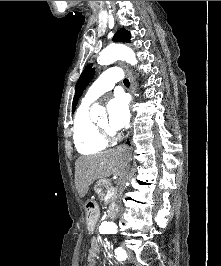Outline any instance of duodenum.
<instances>
[{"label": "duodenum", "instance_id": "obj_1", "mask_svg": "<svg viewBox=\"0 0 221 266\" xmlns=\"http://www.w3.org/2000/svg\"><path fill=\"white\" fill-rule=\"evenodd\" d=\"M88 209H89V217H88V220H87V225H88V228L90 229L95 224L94 206L92 204H89L88 205ZM118 211H119L118 207H110L109 211L107 212V215L108 216H115L116 212H118Z\"/></svg>", "mask_w": 221, "mask_h": 266}]
</instances>
